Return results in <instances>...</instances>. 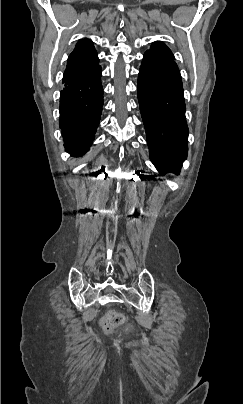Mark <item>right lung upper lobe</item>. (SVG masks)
I'll return each instance as SVG.
<instances>
[{"mask_svg":"<svg viewBox=\"0 0 243 404\" xmlns=\"http://www.w3.org/2000/svg\"><path fill=\"white\" fill-rule=\"evenodd\" d=\"M97 52L93 42L89 39L79 40L74 51L68 58V63L63 76V82L82 74H85L98 65Z\"/></svg>","mask_w":243,"mask_h":404,"instance_id":"obj_1","label":"right lung upper lobe"}]
</instances>
